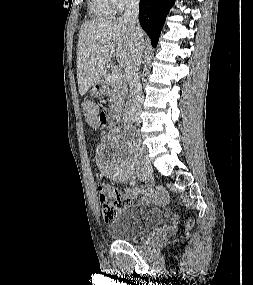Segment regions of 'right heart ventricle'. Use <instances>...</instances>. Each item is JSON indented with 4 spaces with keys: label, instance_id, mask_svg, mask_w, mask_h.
Here are the masks:
<instances>
[{
    "label": "right heart ventricle",
    "instance_id": "obj_1",
    "mask_svg": "<svg viewBox=\"0 0 253 285\" xmlns=\"http://www.w3.org/2000/svg\"><path fill=\"white\" fill-rule=\"evenodd\" d=\"M90 11L96 17H110L116 13L111 0H90Z\"/></svg>",
    "mask_w": 253,
    "mask_h": 285
}]
</instances>
